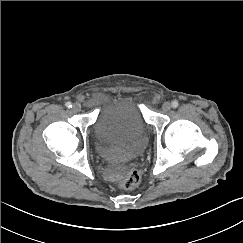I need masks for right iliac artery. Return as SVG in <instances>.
<instances>
[{
	"instance_id": "1",
	"label": "right iliac artery",
	"mask_w": 243,
	"mask_h": 243,
	"mask_svg": "<svg viewBox=\"0 0 243 243\" xmlns=\"http://www.w3.org/2000/svg\"><path fill=\"white\" fill-rule=\"evenodd\" d=\"M65 106H66L67 108H72V103H71V102H66Z\"/></svg>"
}]
</instances>
